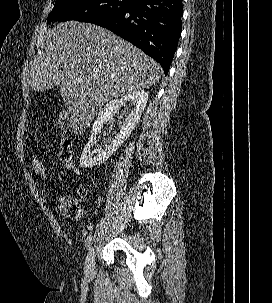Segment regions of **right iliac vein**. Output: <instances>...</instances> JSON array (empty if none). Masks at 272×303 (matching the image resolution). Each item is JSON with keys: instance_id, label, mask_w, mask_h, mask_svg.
<instances>
[{"instance_id": "obj_1", "label": "right iliac vein", "mask_w": 272, "mask_h": 303, "mask_svg": "<svg viewBox=\"0 0 272 303\" xmlns=\"http://www.w3.org/2000/svg\"><path fill=\"white\" fill-rule=\"evenodd\" d=\"M85 276L89 279L95 276V250L90 247L85 261Z\"/></svg>"}]
</instances>
